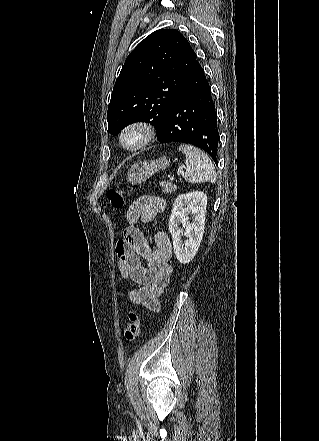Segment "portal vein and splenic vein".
Listing matches in <instances>:
<instances>
[{
	"label": "portal vein and splenic vein",
	"instance_id": "18ae733b",
	"mask_svg": "<svg viewBox=\"0 0 319 441\" xmlns=\"http://www.w3.org/2000/svg\"><path fill=\"white\" fill-rule=\"evenodd\" d=\"M181 174H183V171L179 170V171L177 172V175H181Z\"/></svg>",
	"mask_w": 319,
	"mask_h": 441
}]
</instances>
